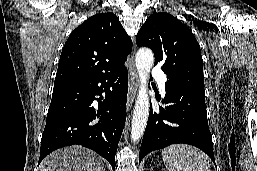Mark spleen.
Instances as JSON below:
<instances>
[{
  "label": "spleen",
  "instance_id": "3e777b00",
  "mask_svg": "<svg viewBox=\"0 0 257 171\" xmlns=\"http://www.w3.org/2000/svg\"><path fill=\"white\" fill-rule=\"evenodd\" d=\"M162 159L168 171H211L207 156L190 145L169 146L163 150Z\"/></svg>",
  "mask_w": 257,
  "mask_h": 171
}]
</instances>
